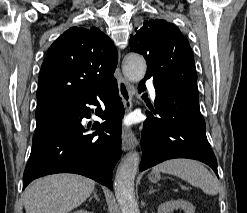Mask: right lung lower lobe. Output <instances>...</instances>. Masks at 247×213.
<instances>
[{"label": "right lung lower lobe", "mask_w": 247, "mask_h": 213, "mask_svg": "<svg viewBox=\"0 0 247 213\" xmlns=\"http://www.w3.org/2000/svg\"><path fill=\"white\" fill-rule=\"evenodd\" d=\"M98 99L104 102L105 111L100 109L96 115L105 122L84 126L83 117L91 115L86 104L100 106ZM123 114L116 79L94 93L61 95L38 105L23 189L38 177L69 172L92 178L112 190V172L121 152ZM89 129L98 130L87 134Z\"/></svg>", "instance_id": "1"}]
</instances>
